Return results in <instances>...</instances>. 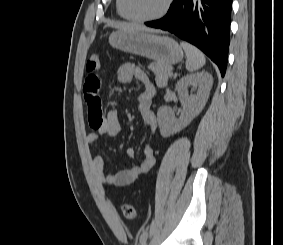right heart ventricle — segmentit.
Listing matches in <instances>:
<instances>
[{
  "label": "right heart ventricle",
  "instance_id": "e07e8e85",
  "mask_svg": "<svg viewBox=\"0 0 283 245\" xmlns=\"http://www.w3.org/2000/svg\"><path fill=\"white\" fill-rule=\"evenodd\" d=\"M116 11L120 17L128 19L123 11L122 0H116Z\"/></svg>",
  "mask_w": 283,
  "mask_h": 245
}]
</instances>
